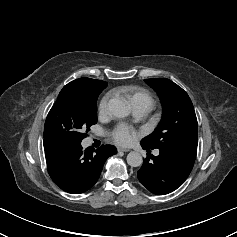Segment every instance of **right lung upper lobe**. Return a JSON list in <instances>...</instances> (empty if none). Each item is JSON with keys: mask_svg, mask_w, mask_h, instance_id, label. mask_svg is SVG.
<instances>
[{"mask_svg": "<svg viewBox=\"0 0 237 237\" xmlns=\"http://www.w3.org/2000/svg\"><path fill=\"white\" fill-rule=\"evenodd\" d=\"M71 83L80 85L90 91L103 90L107 86V82L91 78H79L72 81Z\"/></svg>", "mask_w": 237, "mask_h": 237, "instance_id": "right-lung-upper-lobe-1", "label": "right lung upper lobe"}]
</instances>
